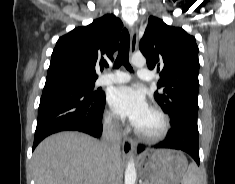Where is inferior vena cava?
<instances>
[{
    "label": "inferior vena cava",
    "instance_id": "1",
    "mask_svg": "<svg viewBox=\"0 0 235 184\" xmlns=\"http://www.w3.org/2000/svg\"><path fill=\"white\" fill-rule=\"evenodd\" d=\"M121 130L119 120L112 118L104 124L101 144L109 156H119L120 154Z\"/></svg>",
    "mask_w": 235,
    "mask_h": 184
}]
</instances>
